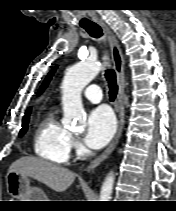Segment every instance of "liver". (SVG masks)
Listing matches in <instances>:
<instances>
[{
  "label": "liver",
  "instance_id": "6515ba94",
  "mask_svg": "<svg viewBox=\"0 0 176 211\" xmlns=\"http://www.w3.org/2000/svg\"><path fill=\"white\" fill-rule=\"evenodd\" d=\"M9 172L32 177L56 192L65 191L75 180V173L71 170L32 156L21 157L13 162Z\"/></svg>",
  "mask_w": 176,
  "mask_h": 211
}]
</instances>
